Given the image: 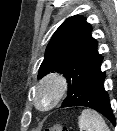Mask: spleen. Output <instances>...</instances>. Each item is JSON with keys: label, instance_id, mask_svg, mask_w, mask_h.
Masks as SVG:
<instances>
[{"label": "spleen", "instance_id": "3e777b00", "mask_svg": "<svg viewBox=\"0 0 117 131\" xmlns=\"http://www.w3.org/2000/svg\"><path fill=\"white\" fill-rule=\"evenodd\" d=\"M80 131H109L102 116L97 112L85 109L78 117Z\"/></svg>", "mask_w": 117, "mask_h": 131}]
</instances>
